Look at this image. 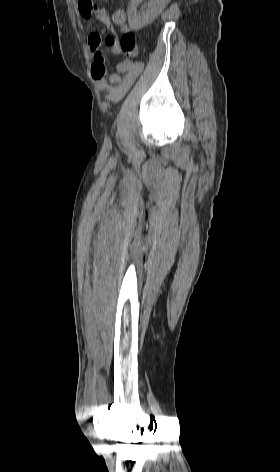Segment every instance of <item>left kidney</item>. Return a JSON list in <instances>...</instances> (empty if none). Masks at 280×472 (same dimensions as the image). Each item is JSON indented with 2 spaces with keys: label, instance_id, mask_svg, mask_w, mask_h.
Masks as SVG:
<instances>
[{
  "label": "left kidney",
  "instance_id": "5707ae66",
  "mask_svg": "<svg viewBox=\"0 0 280 472\" xmlns=\"http://www.w3.org/2000/svg\"><path fill=\"white\" fill-rule=\"evenodd\" d=\"M142 0H131L128 6V23L133 30H139L151 23L162 11L166 0H149L148 10L141 15L137 13V6Z\"/></svg>",
  "mask_w": 280,
  "mask_h": 472
}]
</instances>
